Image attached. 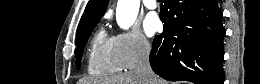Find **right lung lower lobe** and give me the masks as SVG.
I'll list each match as a JSON object with an SVG mask.
<instances>
[{
	"instance_id": "obj_1",
	"label": "right lung lower lobe",
	"mask_w": 260,
	"mask_h": 84,
	"mask_svg": "<svg viewBox=\"0 0 260 84\" xmlns=\"http://www.w3.org/2000/svg\"><path fill=\"white\" fill-rule=\"evenodd\" d=\"M163 33L150 54L153 71L168 81L223 84L222 11L217 0H164Z\"/></svg>"
}]
</instances>
